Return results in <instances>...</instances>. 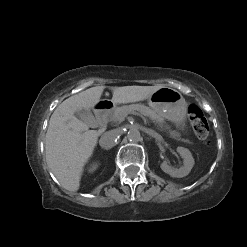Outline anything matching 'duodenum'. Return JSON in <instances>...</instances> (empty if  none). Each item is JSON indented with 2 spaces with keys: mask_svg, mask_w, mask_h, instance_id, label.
<instances>
[{
  "mask_svg": "<svg viewBox=\"0 0 247 247\" xmlns=\"http://www.w3.org/2000/svg\"><path fill=\"white\" fill-rule=\"evenodd\" d=\"M112 107V104L109 102L100 103L95 108V117L100 128H104L107 121V116Z\"/></svg>",
  "mask_w": 247,
  "mask_h": 247,
  "instance_id": "obj_1",
  "label": "duodenum"
}]
</instances>
